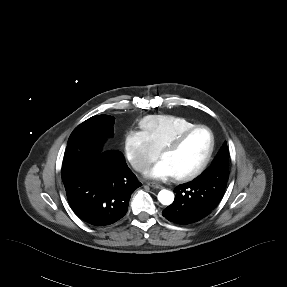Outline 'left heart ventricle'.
Returning <instances> with one entry per match:
<instances>
[{
	"label": "left heart ventricle",
	"mask_w": 287,
	"mask_h": 287,
	"mask_svg": "<svg viewBox=\"0 0 287 287\" xmlns=\"http://www.w3.org/2000/svg\"><path fill=\"white\" fill-rule=\"evenodd\" d=\"M210 146V136L200 129L192 133L177 150L166 153L162 160L166 162L173 176L187 174L196 169L204 160Z\"/></svg>",
	"instance_id": "obj_1"
}]
</instances>
